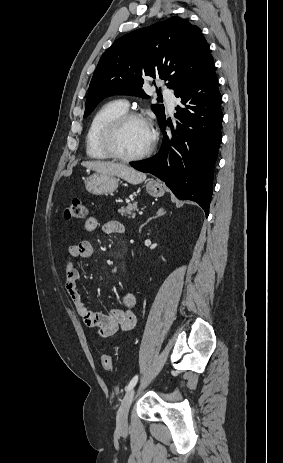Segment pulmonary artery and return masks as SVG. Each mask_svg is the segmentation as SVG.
I'll return each mask as SVG.
<instances>
[{"mask_svg": "<svg viewBox=\"0 0 283 463\" xmlns=\"http://www.w3.org/2000/svg\"><path fill=\"white\" fill-rule=\"evenodd\" d=\"M162 93H163V97L168 102L169 110L173 111L174 106H175V102H176V97H175L174 93L171 90H168V89H164L162 91ZM124 104H125V106H128V103L126 101L124 102Z\"/></svg>", "mask_w": 283, "mask_h": 463, "instance_id": "obj_1", "label": "pulmonary artery"}]
</instances>
